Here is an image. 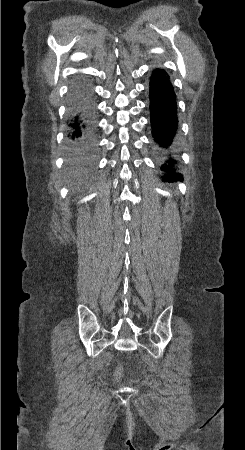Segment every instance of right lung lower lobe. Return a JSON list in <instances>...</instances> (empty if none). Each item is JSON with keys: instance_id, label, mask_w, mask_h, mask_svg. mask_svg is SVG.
<instances>
[{"instance_id": "obj_1", "label": "right lung lower lobe", "mask_w": 245, "mask_h": 450, "mask_svg": "<svg viewBox=\"0 0 245 450\" xmlns=\"http://www.w3.org/2000/svg\"><path fill=\"white\" fill-rule=\"evenodd\" d=\"M94 106L89 91L78 86L73 91L68 132V161L70 169L79 174L89 173L96 161Z\"/></svg>"}]
</instances>
